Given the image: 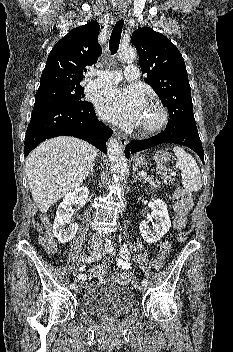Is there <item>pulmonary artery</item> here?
I'll list each match as a JSON object with an SVG mask.
<instances>
[{
	"mask_svg": "<svg viewBox=\"0 0 233 352\" xmlns=\"http://www.w3.org/2000/svg\"><path fill=\"white\" fill-rule=\"evenodd\" d=\"M97 76L96 79L90 80L86 84L87 89H96L108 85L115 84L119 82L123 77L127 80H136L139 75L138 68L134 65H128L124 69V73L122 75L119 71H98L95 73Z\"/></svg>",
	"mask_w": 233,
	"mask_h": 352,
	"instance_id": "pulmonary-artery-1",
	"label": "pulmonary artery"
}]
</instances>
